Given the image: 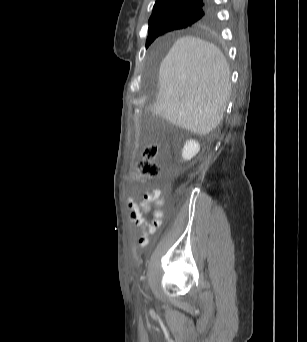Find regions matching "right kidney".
<instances>
[{"mask_svg": "<svg viewBox=\"0 0 307 342\" xmlns=\"http://www.w3.org/2000/svg\"><path fill=\"white\" fill-rule=\"evenodd\" d=\"M198 152H200V144H198L196 140H187L182 150V158L185 162H188V160H192Z\"/></svg>", "mask_w": 307, "mask_h": 342, "instance_id": "1", "label": "right kidney"}]
</instances>
